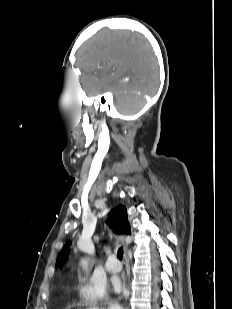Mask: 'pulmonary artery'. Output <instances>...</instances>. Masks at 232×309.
<instances>
[{"label": "pulmonary artery", "mask_w": 232, "mask_h": 309, "mask_svg": "<svg viewBox=\"0 0 232 309\" xmlns=\"http://www.w3.org/2000/svg\"><path fill=\"white\" fill-rule=\"evenodd\" d=\"M105 268L110 273H117L121 270V264L115 259L114 256H110L105 261Z\"/></svg>", "instance_id": "1"}]
</instances>
